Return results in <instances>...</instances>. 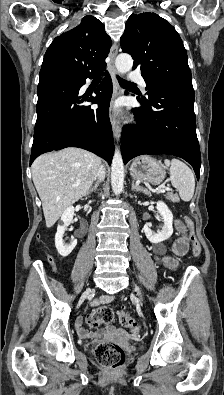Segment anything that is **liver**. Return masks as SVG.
I'll list each match as a JSON object with an SVG mask.
<instances>
[{
    "mask_svg": "<svg viewBox=\"0 0 224 395\" xmlns=\"http://www.w3.org/2000/svg\"><path fill=\"white\" fill-rule=\"evenodd\" d=\"M101 159L84 149L69 147L39 156L32 164V179L47 228L61 214L89 193Z\"/></svg>",
    "mask_w": 224,
    "mask_h": 395,
    "instance_id": "6515ba94",
    "label": "liver"
}]
</instances>
